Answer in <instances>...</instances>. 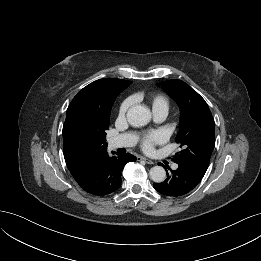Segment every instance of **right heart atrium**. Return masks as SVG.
<instances>
[{
  "mask_svg": "<svg viewBox=\"0 0 261 261\" xmlns=\"http://www.w3.org/2000/svg\"><path fill=\"white\" fill-rule=\"evenodd\" d=\"M132 102L133 101L131 98H127L120 104L119 109H118L119 118H125L128 110L130 109V107L132 105Z\"/></svg>",
  "mask_w": 261,
  "mask_h": 261,
  "instance_id": "obj_1",
  "label": "right heart atrium"
}]
</instances>
